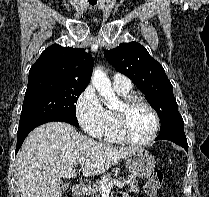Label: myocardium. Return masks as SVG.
<instances>
[{"label":"myocardium","instance_id":"obj_1","mask_svg":"<svg viewBox=\"0 0 209 197\" xmlns=\"http://www.w3.org/2000/svg\"><path fill=\"white\" fill-rule=\"evenodd\" d=\"M136 104H143L145 105L153 115L154 118V127L150 134V136L144 140H136L134 139L128 132L127 129V121H126V111L134 107ZM122 109L116 110V123L118 132L123 141L135 145V146H146L151 144L157 137L159 129H160V116L155 109V107L147 101L145 98L138 96V95H130L129 97L125 98L122 103Z\"/></svg>","mask_w":209,"mask_h":197}]
</instances>
